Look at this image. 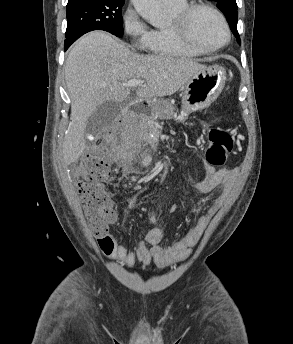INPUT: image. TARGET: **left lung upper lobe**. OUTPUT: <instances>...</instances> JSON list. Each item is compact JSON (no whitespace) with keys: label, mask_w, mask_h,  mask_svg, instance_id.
<instances>
[{"label":"left lung upper lobe","mask_w":293,"mask_h":344,"mask_svg":"<svg viewBox=\"0 0 293 344\" xmlns=\"http://www.w3.org/2000/svg\"><path fill=\"white\" fill-rule=\"evenodd\" d=\"M217 3V7L223 12L226 16L230 28L240 43V37L237 31V4L236 0H211Z\"/></svg>","instance_id":"left-lung-upper-lobe-1"}]
</instances>
